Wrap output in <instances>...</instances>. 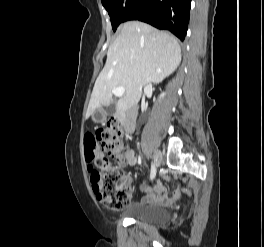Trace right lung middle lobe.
<instances>
[{
  "mask_svg": "<svg viewBox=\"0 0 264 247\" xmlns=\"http://www.w3.org/2000/svg\"><path fill=\"white\" fill-rule=\"evenodd\" d=\"M108 11L111 19L112 29L115 31L123 22L124 15L134 0H101Z\"/></svg>",
  "mask_w": 264,
  "mask_h": 247,
  "instance_id": "obj_1",
  "label": "right lung middle lobe"
}]
</instances>
